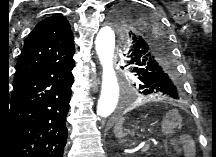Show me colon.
Wrapping results in <instances>:
<instances>
[{"label": "colon", "instance_id": "colon-1", "mask_svg": "<svg viewBox=\"0 0 216 157\" xmlns=\"http://www.w3.org/2000/svg\"><path fill=\"white\" fill-rule=\"evenodd\" d=\"M182 125L181 115L176 110H171L163 120V128L167 133H173Z\"/></svg>", "mask_w": 216, "mask_h": 157}]
</instances>
